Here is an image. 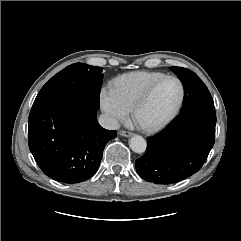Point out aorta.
<instances>
[{
    "label": "aorta",
    "instance_id": "aorta-1",
    "mask_svg": "<svg viewBox=\"0 0 241 241\" xmlns=\"http://www.w3.org/2000/svg\"><path fill=\"white\" fill-rule=\"evenodd\" d=\"M129 146L132 151L135 153H144L146 148H147V142L146 140L139 135H134L130 140H129Z\"/></svg>",
    "mask_w": 241,
    "mask_h": 241
}]
</instances>
